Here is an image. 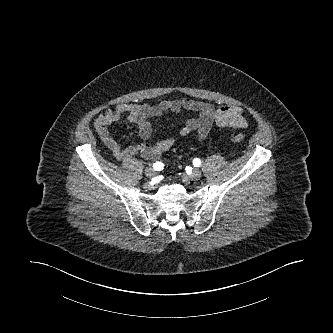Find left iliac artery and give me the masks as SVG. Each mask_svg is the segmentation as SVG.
<instances>
[{
	"instance_id": "1",
	"label": "left iliac artery",
	"mask_w": 333,
	"mask_h": 333,
	"mask_svg": "<svg viewBox=\"0 0 333 333\" xmlns=\"http://www.w3.org/2000/svg\"><path fill=\"white\" fill-rule=\"evenodd\" d=\"M193 165H194L195 167H199V166L201 165V160H200L199 158H195V159L193 160Z\"/></svg>"
}]
</instances>
